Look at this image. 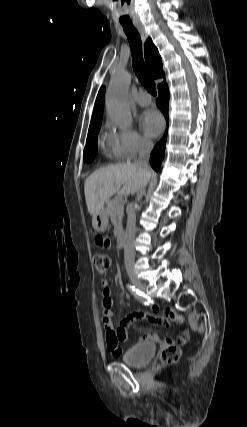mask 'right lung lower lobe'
Here are the masks:
<instances>
[{"mask_svg":"<svg viewBox=\"0 0 247 427\" xmlns=\"http://www.w3.org/2000/svg\"><path fill=\"white\" fill-rule=\"evenodd\" d=\"M159 96L157 105L164 114L168 124V108H169V90L166 82L158 85ZM167 132L163 138L157 143L150 156V164L155 171H158L164 157V149L166 145Z\"/></svg>","mask_w":247,"mask_h":427,"instance_id":"right-lung-lower-lobe-1","label":"right lung lower lobe"}]
</instances>
